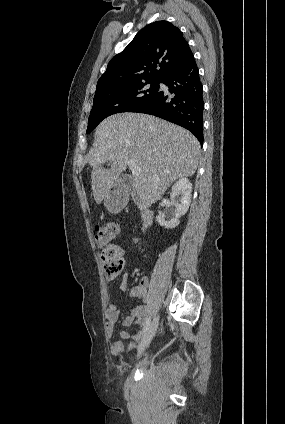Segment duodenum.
<instances>
[{"label":"duodenum","instance_id":"1","mask_svg":"<svg viewBox=\"0 0 285 424\" xmlns=\"http://www.w3.org/2000/svg\"><path fill=\"white\" fill-rule=\"evenodd\" d=\"M120 188L125 194L133 192L135 188V179L130 176H124L120 181ZM138 206L141 210V229L146 230L152 224L153 221V212L141 201L138 200Z\"/></svg>","mask_w":285,"mask_h":424}]
</instances>
